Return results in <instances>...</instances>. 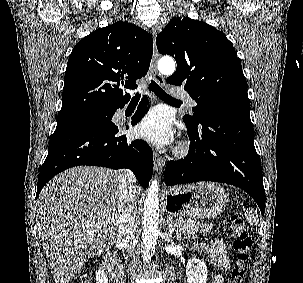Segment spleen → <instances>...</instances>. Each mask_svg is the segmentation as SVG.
Wrapping results in <instances>:
<instances>
[{
  "label": "spleen",
  "instance_id": "3e777b00",
  "mask_svg": "<svg viewBox=\"0 0 303 283\" xmlns=\"http://www.w3.org/2000/svg\"><path fill=\"white\" fill-rule=\"evenodd\" d=\"M245 216H246V220L250 224H252V225H257L258 224L259 218H258L257 213L253 209H251V208L247 209L246 212H245Z\"/></svg>",
  "mask_w": 303,
  "mask_h": 283
}]
</instances>
